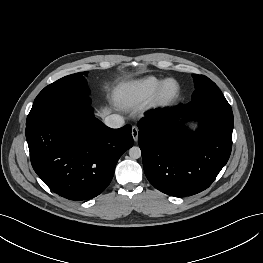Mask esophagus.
<instances>
[{"label": "esophagus", "mask_w": 263, "mask_h": 263, "mask_svg": "<svg viewBox=\"0 0 263 263\" xmlns=\"http://www.w3.org/2000/svg\"><path fill=\"white\" fill-rule=\"evenodd\" d=\"M138 128L136 126H133L132 127V137H133V140L136 142L138 140Z\"/></svg>", "instance_id": "1"}]
</instances>
